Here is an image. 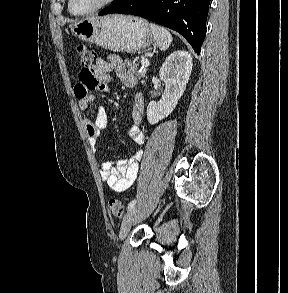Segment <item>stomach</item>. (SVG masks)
<instances>
[{"label": "stomach", "mask_w": 288, "mask_h": 293, "mask_svg": "<svg viewBox=\"0 0 288 293\" xmlns=\"http://www.w3.org/2000/svg\"><path fill=\"white\" fill-rule=\"evenodd\" d=\"M70 30L75 37L111 51L135 53L155 41L147 21L133 16L88 17L70 25Z\"/></svg>", "instance_id": "0dacf381"}]
</instances>
